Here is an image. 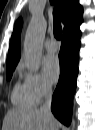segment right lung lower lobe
<instances>
[{"label": "right lung lower lobe", "instance_id": "obj_1", "mask_svg": "<svg viewBox=\"0 0 95 130\" xmlns=\"http://www.w3.org/2000/svg\"><path fill=\"white\" fill-rule=\"evenodd\" d=\"M80 35L79 30L63 35L59 53L60 78L52 99V112L67 126L71 121L72 99L76 88Z\"/></svg>", "mask_w": 95, "mask_h": 130}]
</instances>
